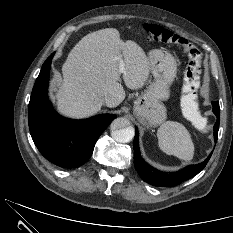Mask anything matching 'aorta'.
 <instances>
[{
  "label": "aorta",
  "instance_id": "762f6f07",
  "mask_svg": "<svg viewBox=\"0 0 233 233\" xmlns=\"http://www.w3.org/2000/svg\"><path fill=\"white\" fill-rule=\"evenodd\" d=\"M110 128L113 139L119 143L130 142L135 134L134 128L130 126V121L123 117L113 120Z\"/></svg>",
  "mask_w": 233,
  "mask_h": 233
}]
</instances>
